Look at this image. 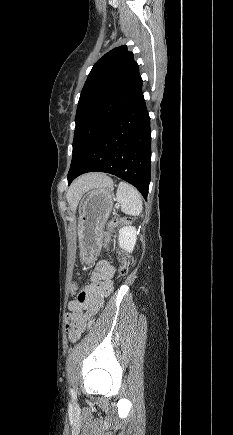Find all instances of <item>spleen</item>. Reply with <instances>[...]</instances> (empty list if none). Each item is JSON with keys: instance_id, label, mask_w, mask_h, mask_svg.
Segmentation results:
<instances>
[{"instance_id": "spleen-1", "label": "spleen", "mask_w": 233, "mask_h": 435, "mask_svg": "<svg viewBox=\"0 0 233 435\" xmlns=\"http://www.w3.org/2000/svg\"><path fill=\"white\" fill-rule=\"evenodd\" d=\"M116 200L121 204V211L131 216H138L143 210L141 194L126 182H120Z\"/></svg>"}]
</instances>
